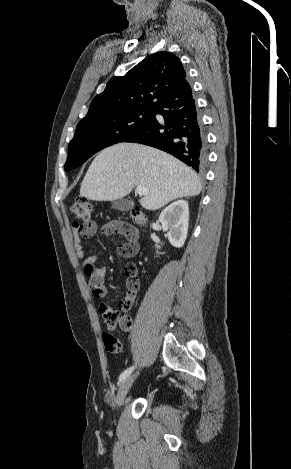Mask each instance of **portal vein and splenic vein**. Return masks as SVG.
Listing matches in <instances>:
<instances>
[{"mask_svg":"<svg viewBox=\"0 0 291 469\" xmlns=\"http://www.w3.org/2000/svg\"><path fill=\"white\" fill-rule=\"evenodd\" d=\"M136 192H137V194L140 195V196L148 194L147 188L144 187L143 185L137 186Z\"/></svg>","mask_w":291,"mask_h":469,"instance_id":"portal-vein-and-splenic-vein-1","label":"portal vein and splenic vein"}]
</instances>
